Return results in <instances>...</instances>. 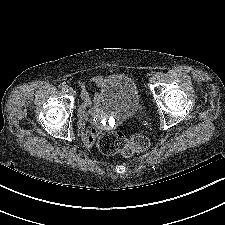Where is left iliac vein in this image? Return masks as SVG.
Segmentation results:
<instances>
[{
	"label": "left iliac vein",
	"instance_id": "left-iliac-vein-1",
	"mask_svg": "<svg viewBox=\"0 0 225 225\" xmlns=\"http://www.w3.org/2000/svg\"><path fill=\"white\" fill-rule=\"evenodd\" d=\"M155 82H156V78H155L154 76L151 77V78H150V83H151V84H154Z\"/></svg>",
	"mask_w": 225,
	"mask_h": 225
}]
</instances>
